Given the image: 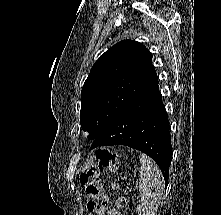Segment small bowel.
<instances>
[{"instance_id":"c3829d8e","label":"small bowel","mask_w":221,"mask_h":215,"mask_svg":"<svg viewBox=\"0 0 221 215\" xmlns=\"http://www.w3.org/2000/svg\"><path fill=\"white\" fill-rule=\"evenodd\" d=\"M107 215H122V214L117 209H111L107 212Z\"/></svg>"}]
</instances>
